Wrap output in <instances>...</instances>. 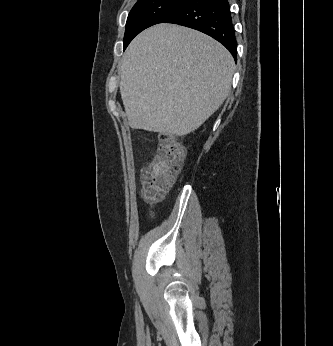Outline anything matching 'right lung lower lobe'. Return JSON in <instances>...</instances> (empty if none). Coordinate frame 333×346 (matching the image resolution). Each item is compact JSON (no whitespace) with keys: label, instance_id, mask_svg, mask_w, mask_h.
Instances as JSON below:
<instances>
[{"label":"right lung lower lobe","instance_id":"98d812e1","mask_svg":"<svg viewBox=\"0 0 333 346\" xmlns=\"http://www.w3.org/2000/svg\"><path fill=\"white\" fill-rule=\"evenodd\" d=\"M163 23L201 31L222 43L237 59V41L228 0H185Z\"/></svg>","mask_w":333,"mask_h":346}]
</instances>
